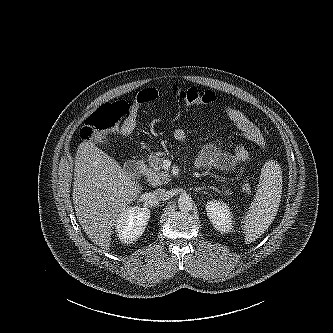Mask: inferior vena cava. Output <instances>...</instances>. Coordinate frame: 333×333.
Returning <instances> with one entry per match:
<instances>
[{"label": "inferior vena cava", "instance_id": "1", "mask_svg": "<svg viewBox=\"0 0 333 333\" xmlns=\"http://www.w3.org/2000/svg\"><path fill=\"white\" fill-rule=\"evenodd\" d=\"M152 196L154 199L159 201H166L170 197L169 192L161 188L155 189L152 193Z\"/></svg>", "mask_w": 333, "mask_h": 333}]
</instances>
